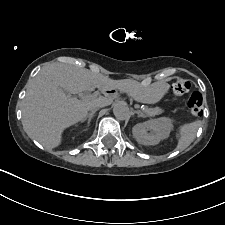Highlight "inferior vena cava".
I'll use <instances>...</instances> for the list:
<instances>
[{"mask_svg":"<svg viewBox=\"0 0 225 225\" xmlns=\"http://www.w3.org/2000/svg\"><path fill=\"white\" fill-rule=\"evenodd\" d=\"M106 106V103L103 99H99L98 101H96L90 108L89 110L93 111V110H96V109H99V108H102Z\"/></svg>","mask_w":225,"mask_h":225,"instance_id":"1","label":"inferior vena cava"}]
</instances>
